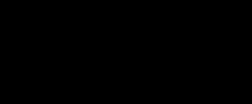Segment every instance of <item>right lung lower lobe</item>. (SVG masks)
Listing matches in <instances>:
<instances>
[{
    "instance_id": "right-lung-lower-lobe-1",
    "label": "right lung lower lobe",
    "mask_w": 252,
    "mask_h": 104,
    "mask_svg": "<svg viewBox=\"0 0 252 104\" xmlns=\"http://www.w3.org/2000/svg\"><path fill=\"white\" fill-rule=\"evenodd\" d=\"M35 87L41 104H112L120 97L115 78L94 75L69 55L52 57Z\"/></svg>"
}]
</instances>
